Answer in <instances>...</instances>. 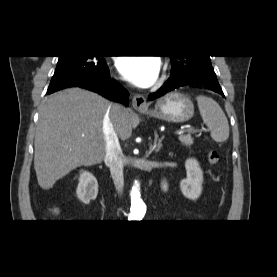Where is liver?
Instances as JSON below:
<instances>
[{
  "label": "liver",
  "instance_id": "1",
  "mask_svg": "<svg viewBox=\"0 0 277 277\" xmlns=\"http://www.w3.org/2000/svg\"><path fill=\"white\" fill-rule=\"evenodd\" d=\"M110 105L107 99L81 88L65 89L45 99L34 141V169L42 189L52 188L77 167L103 160V119ZM112 116L118 136L128 139L132 133L128 110L122 107L120 113L112 111Z\"/></svg>",
  "mask_w": 277,
  "mask_h": 277
}]
</instances>
